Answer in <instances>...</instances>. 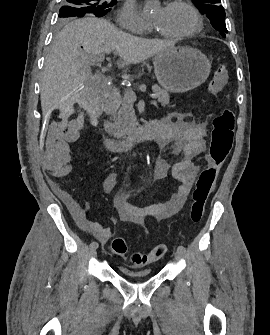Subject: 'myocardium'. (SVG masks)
I'll return each mask as SVG.
<instances>
[{"label":"myocardium","instance_id":"f54148a6","mask_svg":"<svg viewBox=\"0 0 270 335\" xmlns=\"http://www.w3.org/2000/svg\"><path fill=\"white\" fill-rule=\"evenodd\" d=\"M181 5H185L186 7H188V9L194 15L195 20H196L195 27L188 32H185V33H182V34H177V35H168V34L162 33V35L164 37L183 40V39H187V38H190V37L196 35L203 28V19H202L200 13L198 12V10L196 9V7L191 2L175 1V2L171 3V7H178V6H181ZM181 51L182 52H195L194 50L189 49V48H184ZM175 78H180V77H175ZM199 78H205V77H199Z\"/></svg>","mask_w":270,"mask_h":335}]
</instances>
